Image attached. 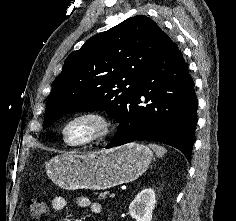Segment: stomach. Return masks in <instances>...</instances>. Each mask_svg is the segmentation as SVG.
Returning a JSON list of instances; mask_svg holds the SVG:
<instances>
[{
	"label": "stomach",
	"instance_id": "obj_1",
	"mask_svg": "<svg viewBox=\"0 0 236 221\" xmlns=\"http://www.w3.org/2000/svg\"><path fill=\"white\" fill-rule=\"evenodd\" d=\"M153 158L139 143H127L86 154L64 153L46 163L49 178L62 189L104 190L141 176Z\"/></svg>",
	"mask_w": 236,
	"mask_h": 221
}]
</instances>
